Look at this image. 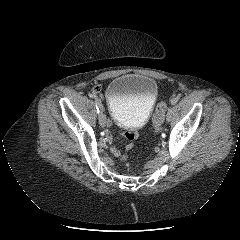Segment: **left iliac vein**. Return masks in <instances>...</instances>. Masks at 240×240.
Masks as SVG:
<instances>
[{"label": "left iliac vein", "mask_w": 240, "mask_h": 240, "mask_svg": "<svg viewBox=\"0 0 240 240\" xmlns=\"http://www.w3.org/2000/svg\"><path fill=\"white\" fill-rule=\"evenodd\" d=\"M172 113H173V109L172 107L168 108L167 114H166V121L169 122L172 118Z\"/></svg>", "instance_id": "obj_1"}]
</instances>
